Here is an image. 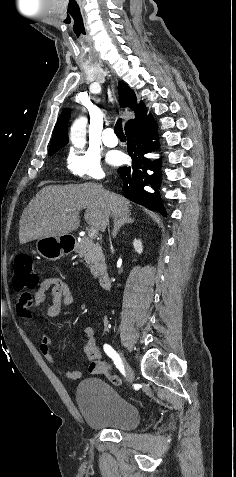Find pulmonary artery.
<instances>
[{
    "label": "pulmonary artery",
    "mask_w": 236,
    "mask_h": 477,
    "mask_svg": "<svg viewBox=\"0 0 236 477\" xmlns=\"http://www.w3.org/2000/svg\"><path fill=\"white\" fill-rule=\"evenodd\" d=\"M103 143L108 147H115L118 144V139L114 134L112 128H106L102 132Z\"/></svg>",
    "instance_id": "e3ab8cb5"
}]
</instances>
